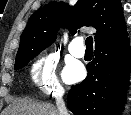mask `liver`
Returning <instances> with one entry per match:
<instances>
[{
    "mask_svg": "<svg viewBox=\"0 0 131 115\" xmlns=\"http://www.w3.org/2000/svg\"><path fill=\"white\" fill-rule=\"evenodd\" d=\"M3 115H59V112L52 104L20 99L10 104L4 110Z\"/></svg>",
    "mask_w": 131,
    "mask_h": 115,
    "instance_id": "obj_1",
    "label": "liver"
}]
</instances>
